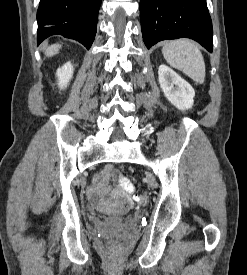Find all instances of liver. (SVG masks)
I'll return each instance as SVG.
<instances>
[{
	"mask_svg": "<svg viewBox=\"0 0 247 275\" xmlns=\"http://www.w3.org/2000/svg\"><path fill=\"white\" fill-rule=\"evenodd\" d=\"M61 48V45L54 44L45 49V55L48 57H52L53 55L57 54L59 49Z\"/></svg>",
	"mask_w": 247,
	"mask_h": 275,
	"instance_id": "1",
	"label": "liver"
}]
</instances>
